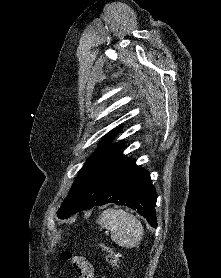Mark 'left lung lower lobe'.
Listing matches in <instances>:
<instances>
[{
    "label": "left lung lower lobe",
    "instance_id": "left-lung-lower-lobe-1",
    "mask_svg": "<svg viewBox=\"0 0 221 278\" xmlns=\"http://www.w3.org/2000/svg\"><path fill=\"white\" fill-rule=\"evenodd\" d=\"M156 200V190L149 172L127 159L121 151L94 176L71 214L97 205L115 203L136 210L151 226L157 227Z\"/></svg>",
    "mask_w": 221,
    "mask_h": 278
}]
</instances>
